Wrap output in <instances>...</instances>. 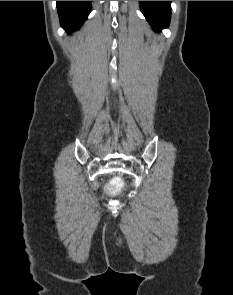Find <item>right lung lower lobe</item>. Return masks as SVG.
Segmentation results:
<instances>
[{"label":"right lung lower lobe","instance_id":"1","mask_svg":"<svg viewBox=\"0 0 233 295\" xmlns=\"http://www.w3.org/2000/svg\"><path fill=\"white\" fill-rule=\"evenodd\" d=\"M61 26L66 31H75L87 19L91 11V1H57Z\"/></svg>","mask_w":233,"mask_h":295}]
</instances>
